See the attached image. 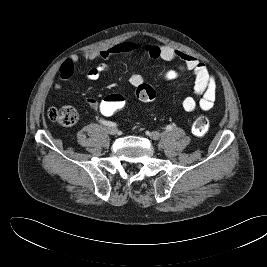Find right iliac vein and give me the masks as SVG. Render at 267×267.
<instances>
[{
  "label": "right iliac vein",
  "mask_w": 267,
  "mask_h": 267,
  "mask_svg": "<svg viewBox=\"0 0 267 267\" xmlns=\"http://www.w3.org/2000/svg\"><path fill=\"white\" fill-rule=\"evenodd\" d=\"M107 132L110 134V135H116L118 130L115 128V127H108L107 128Z\"/></svg>",
  "instance_id": "1"
}]
</instances>
